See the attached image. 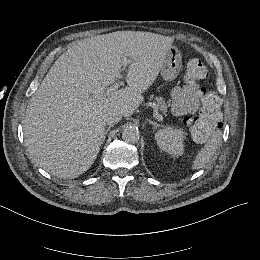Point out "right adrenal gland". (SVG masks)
Listing matches in <instances>:
<instances>
[{
  "instance_id": "obj_1",
  "label": "right adrenal gland",
  "mask_w": 260,
  "mask_h": 260,
  "mask_svg": "<svg viewBox=\"0 0 260 260\" xmlns=\"http://www.w3.org/2000/svg\"><path fill=\"white\" fill-rule=\"evenodd\" d=\"M111 128H112V126H109V127L105 130V135L110 131Z\"/></svg>"
}]
</instances>
